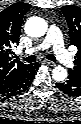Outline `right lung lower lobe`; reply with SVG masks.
Returning <instances> with one entry per match:
<instances>
[{
    "label": "right lung lower lobe",
    "mask_w": 81,
    "mask_h": 124,
    "mask_svg": "<svg viewBox=\"0 0 81 124\" xmlns=\"http://www.w3.org/2000/svg\"><path fill=\"white\" fill-rule=\"evenodd\" d=\"M39 66V63L26 65L10 81L0 85V94L11 97L26 91Z\"/></svg>",
    "instance_id": "right-lung-lower-lobe-1"
}]
</instances>
